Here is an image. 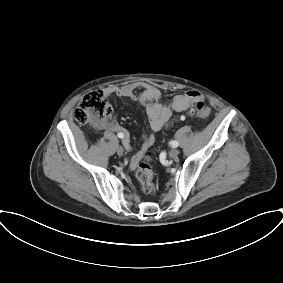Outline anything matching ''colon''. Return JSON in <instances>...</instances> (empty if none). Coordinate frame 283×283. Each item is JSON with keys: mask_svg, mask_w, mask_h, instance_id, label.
I'll return each mask as SVG.
<instances>
[{"mask_svg": "<svg viewBox=\"0 0 283 283\" xmlns=\"http://www.w3.org/2000/svg\"><path fill=\"white\" fill-rule=\"evenodd\" d=\"M112 106L106 97L99 91L85 94L73 111V118L79 124H90L96 129L105 127L112 115ZM211 114V108L205 102H197L191 109L190 115L196 118H207ZM136 176L140 182L142 191L151 195L155 191L154 173L147 159L139 161Z\"/></svg>", "mask_w": 283, "mask_h": 283, "instance_id": "colon-1", "label": "colon"}]
</instances>
